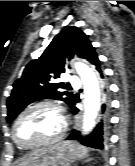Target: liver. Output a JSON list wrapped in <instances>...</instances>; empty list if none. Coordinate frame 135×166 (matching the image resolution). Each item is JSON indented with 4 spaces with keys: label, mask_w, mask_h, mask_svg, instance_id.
<instances>
[{
    "label": "liver",
    "mask_w": 135,
    "mask_h": 166,
    "mask_svg": "<svg viewBox=\"0 0 135 166\" xmlns=\"http://www.w3.org/2000/svg\"><path fill=\"white\" fill-rule=\"evenodd\" d=\"M25 164V161L24 162H22L19 166H23Z\"/></svg>",
    "instance_id": "1"
}]
</instances>
